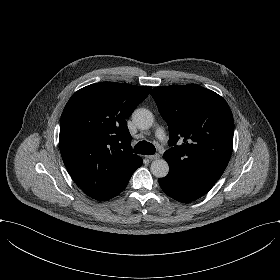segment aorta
<instances>
[{
    "label": "aorta",
    "instance_id": "1",
    "mask_svg": "<svg viewBox=\"0 0 280 280\" xmlns=\"http://www.w3.org/2000/svg\"><path fill=\"white\" fill-rule=\"evenodd\" d=\"M134 123L143 130L149 129L153 125V114L145 108L136 109L132 114ZM151 173L157 178H164L169 172V165L164 159H155L151 163Z\"/></svg>",
    "mask_w": 280,
    "mask_h": 280
}]
</instances>
